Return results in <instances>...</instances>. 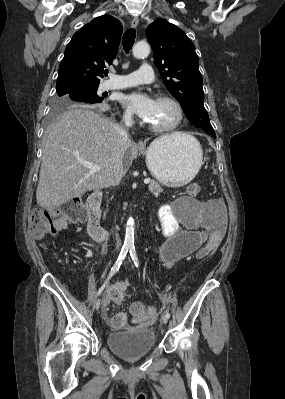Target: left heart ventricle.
Wrapping results in <instances>:
<instances>
[{
    "label": "left heart ventricle",
    "instance_id": "b2bd125f",
    "mask_svg": "<svg viewBox=\"0 0 285 399\" xmlns=\"http://www.w3.org/2000/svg\"><path fill=\"white\" fill-rule=\"evenodd\" d=\"M177 119L175 107L166 101H156L154 113L149 123L155 126L172 124Z\"/></svg>",
    "mask_w": 285,
    "mask_h": 399
}]
</instances>
